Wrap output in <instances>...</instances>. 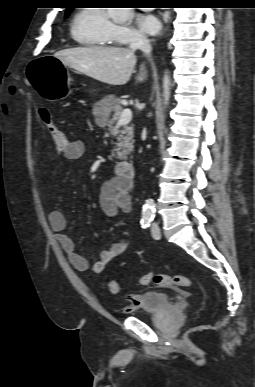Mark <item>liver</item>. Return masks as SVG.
<instances>
[{
    "label": "liver",
    "mask_w": 255,
    "mask_h": 387,
    "mask_svg": "<svg viewBox=\"0 0 255 387\" xmlns=\"http://www.w3.org/2000/svg\"><path fill=\"white\" fill-rule=\"evenodd\" d=\"M65 66L109 85L126 84L137 62L134 50L124 47L90 46L65 49L54 55ZM146 73L141 65L137 81Z\"/></svg>",
    "instance_id": "1"
}]
</instances>
